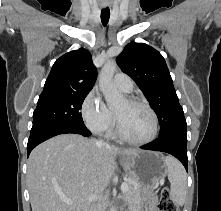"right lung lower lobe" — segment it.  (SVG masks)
Segmentation results:
<instances>
[{
  "label": "right lung lower lobe",
  "instance_id": "obj_1",
  "mask_svg": "<svg viewBox=\"0 0 221 211\" xmlns=\"http://www.w3.org/2000/svg\"><path fill=\"white\" fill-rule=\"evenodd\" d=\"M75 133L80 134L85 137L91 135V132L84 126H74V125H49L30 132V137L27 144V155L43 141L54 137L59 134Z\"/></svg>",
  "mask_w": 221,
  "mask_h": 211
}]
</instances>
